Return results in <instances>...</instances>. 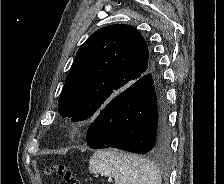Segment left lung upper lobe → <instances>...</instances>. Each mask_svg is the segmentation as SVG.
<instances>
[{
  "mask_svg": "<svg viewBox=\"0 0 224 184\" xmlns=\"http://www.w3.org/2000/svg\"><path fill=\"white\" fill-rule=\"evenodd\" d=\"M154 67L147 43L137 29L125 24L103 27L79 48L58 101V112L74 121L97 115Z\"/></svg>",
  "mask_w": 224,
  "mask_h": 184,
  "instance_id": "5c2ea615",
  "label": "left lung upper lobe"
}]
</instances>
